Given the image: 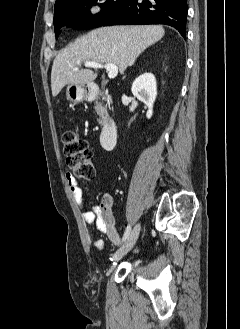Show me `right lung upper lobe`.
<instances>
[{
	"mask_svg": "<svg viewBox=\"0 0 240 329\" xmlns=\"http://www.w3.org/2000/svg\"><path fill=\"white\" fill-rule=\"evenodd\" d=\"M67 1H69V0H56L54 9L60 7L61 5H63Z\"/></svg>",
	"mask_w": 240,
	"mask_h": 329,
	"instance_id": "cb5924a9",
	"label": "right lung upper lobe"
}]
</instances>
